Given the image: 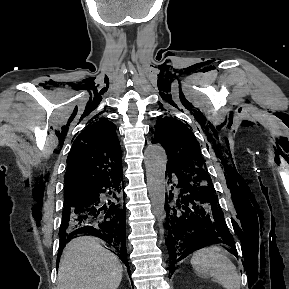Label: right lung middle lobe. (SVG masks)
<instances>
[{"label": "right lung middle lobe", "instance_id": "obj_1", "mask_svg": "<svg viewBox=\"0 0 289 289\" xmlns=\"http://www.w3.org/2000/svg\"><path fill=\"white\" fill-rule=\"evenodd\" d=\"M78 197H73V196H65L64 197V205L70 206Z\"/></svg>", "mask_w": 289, "mask_h": 289}]
</instances>
